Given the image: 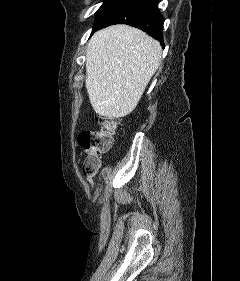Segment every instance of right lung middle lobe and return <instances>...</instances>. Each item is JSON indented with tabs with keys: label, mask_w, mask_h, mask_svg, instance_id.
Wrapping results in <instances>:
<instances>
[{
	"label": "right lung middle lobe",
	"mask_w": 240,
	"mask_h": 281,
	"mask_svg": "<svg viewBox=\"0 0 240 281\" xmlns=\"http://www.w3.org/2000/svg\"><path fill=\"white\" fill-rule=\"evenodd\" d=\"M122 0H103V5L96 12L94 28L102 21V19Z\"/></svg>",
	"instance_id": "1"
}]
</instances>
